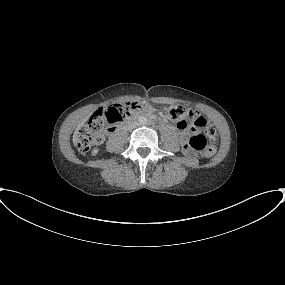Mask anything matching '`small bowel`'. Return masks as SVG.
<instances>
[{"mask_svg": "<svg viewBox=\"0 0 285 285\" xmlns=\"http://www.w3.org/2000/svg\"><path fill=\"white\" fill-rule=\"evenodd\" d=\"M199 116H200V114L198 113V111H196V110H194V109H190V110H188L187 113L183 116L182 121H185L186 118L189 119V120H194V119H196V118L199 117ZM184 153H185L186 155H189V153H187V152H185V151H184Z\"/></svg>", "mask_w": 285, "mask_h": 285, "instance_id": "obj_1", "label": "small bowel"}]
</instances>
